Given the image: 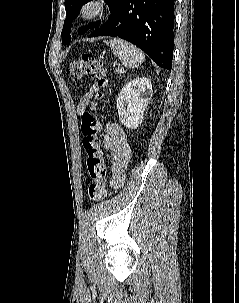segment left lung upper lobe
Wrapping results in <instances>:
<instances>
[{
    "label": "left lung upper lobe",
    "instance_id": "1",
    "mask_svg": "<svg viewBox=\"0 0 239 303\" xmlns=\"http://www.w3.org/2000/svg\"><path fill=\"white\" fill-rule=\"evenodd\" d=\"M90 0H65V9H66V19L64 22V27L61 33L62 36V44H68L71 40L70 32L72 21L78 16L79 10L85 3ZM110 7L111 14L118 7V5L122 2V0H104ZM100 21L91 23L88 26H84L80 28L78 31L79 34L86 32L89 29L95 28L100 25Z\"/></svg>",
    "mask_w": 239,
    "mask_h": 303
}]
</instances>
